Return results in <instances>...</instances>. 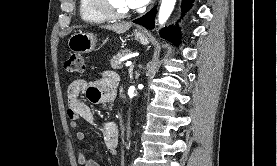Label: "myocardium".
Wrapping results in <instances>:
<instances>
[{
	"instance_id": "myocardium-1",
	"label": "myocardium",
	"mask_w": 277,
	"mask_h": 166,
	"mask_svg": "<svg viewBox=\"0 0 277 166\" xmlns=\"http://www.w3.org/2000/svg\"><path fill=\"white\" fill-rule=\"evenodd\" d=\"M90 8L109 20H120L129 17L132 11L118 12L109 4L108 0H87Z\"/></svg>"
}]
</instances>
